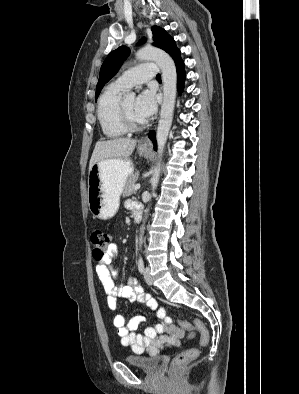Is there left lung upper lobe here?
I'll list each match as a JSON object with an SVG mask.
<instances>
[{
	"label": "left lung upper lobe",
	"instance_id": "5c2ea615",
	"mask_svg": "<svg viewBox=\"0 0 299 394\" xmlns=\"http://www.w3.org/2000/svg\"><path fill=\"white\" fill-rule=\"evenodd\" d=\"M152 32L154 40L153 45L163 49L171 57L174 56L175 53L179 50L176 47L174 39L170 35H168L164 29L158 26H153ZM144 42L145 39H142L139 43L142 44ZM129 54L130 49L126 46H121L118 49L112 51L107 56L100 69V75L95 94L96 98L99 96L103 86L118 72L122 63L126 60Z\"/></svg>",
	"mask_w": 299,
	"mask_h": 394
}]
</instances>
